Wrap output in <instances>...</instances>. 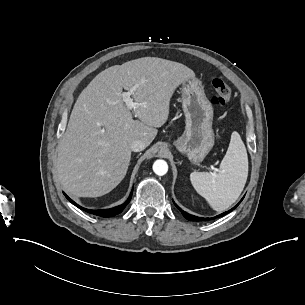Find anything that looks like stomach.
I'll list each match as a JSON object with an SVG mask.
<instances>
[{
    "label": "stomach",
    "mask_w": 305,
    "mask_h": 305,
    "mask_svg": "<svg viewBox=\"0 0 305 305\" xmlns=\"http://www.w3.org/2000/svg\"><path fill=\"white\" fill-rule=\"evenodd\" d=\"M181 94L186 126L183 135L174 145L180 152L185 153L193 164H198L214 146L213 106L198 78L184 81Z\"/></svg>",
    "instance_id": "0dacf381"
}]
</instances>
